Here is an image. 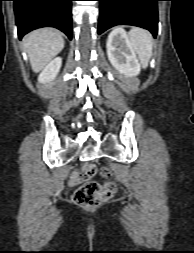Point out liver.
<instances>
[{"instance_id":"obj_1","label":"liver","mask_w":194,"mask_h":253,"mask_svg":"<svg viewBox=\"0 0 194 253\" xmlns=\"http://www.w3.org/2000/svg\"><path fill=\"white\" fill-rule=\"evenodd\" d=\"M32 70L41 71L64 48L62 34L56 29L42 28L30 32L23 40Z\"/></svg>"}]
</instances>
